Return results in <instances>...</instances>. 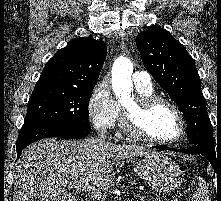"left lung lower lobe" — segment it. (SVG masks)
<instances>
[{
  "instance_id": "0a47b994",
  "label": "left lung lower lobe",
  "mask_w": 221,
  "mask_h": 201,
  "mask_svg": "<svg viewBox=\"0 0 221 201\" xmlns=\"http://www.w3.org/2000/svg\"><path fill=\"white\" fill-rule=\"evenodd\" d=\"M155 148L161 149V150H173V149H168V148L160 147V146L155 147ZM174 151H179V152H183L186 154H202L208 159V161L211 163V165L213 166L216 172L221 167V161H220V157L218 156V153L216 156L215 150L208 149L202 145H194L193 147L188 148V149H179V150H174Z\"/></svg>"
}]
</instances>
